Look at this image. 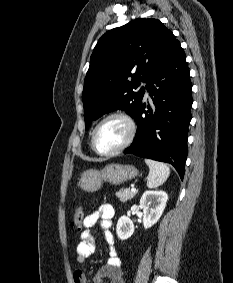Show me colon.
<instances>
[{
  "label": "colon",
  "instance_id": "obj_1",
  "mask_svg": "<svg viewBox=\"0 0 233 283\" xmlns=\"http://www.w3.org/2000/svg\"><path fill=\"white\" fill-rule=\"evenodd\" d=\"M84 220H85V215L83 208L82 207L76 208L73 214L71 226L73 228L80 229L84 224Z\"/></svg>",
  "mask_w": 233,
  "mask_h": 283
}]
</instances>
